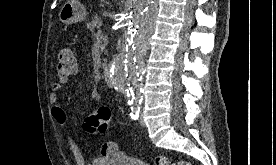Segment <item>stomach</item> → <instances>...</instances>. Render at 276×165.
I'll use <instances>...</instances> for the list:
<instances>
[{"instance_id": "1", "label": "stomach", "mask_w": 276, "mask_h": 165, "mask_svg": "<svg viewBox=\"0 0 276 165\" xmlns=\"http://www.w3.org/2000/svg\"><path fill=\"white\" fill-rule=\"evenodd\" d=\"M86 9L78 0H68L61 8L59 13L60 21L65 25H71L84 21Z\"/></svg>"}]
</instances>
